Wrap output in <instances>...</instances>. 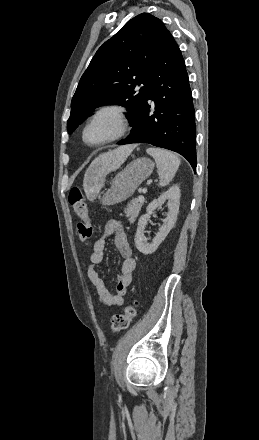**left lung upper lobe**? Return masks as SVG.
<instances>
[{
  "mask_svg": "<svg viewBox=\"0 0 259 440\" xmlns=\"http://www.w3.org/2000/svg\"><path fill=\"white\" fill-rule=\"evenodd\" d=\"M170 32L149 13L129 20L106 41L82 75L67 121L72 133L96 107L119 104L132 125L146 102L148 85ZM143 85L140 90L137 89Z\"/></svg>",
  "mask_w": 259,
  "mask_h": 440,
  "instance_id": "5c2ea615",
  "label": "left lung upper lobe"
}]
</instances>
